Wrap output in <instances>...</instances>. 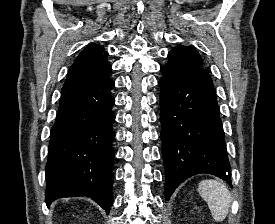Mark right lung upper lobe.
Instances as JSON below:
<instances>
[{"instance_id":"right-lung-upper-lobe-1","label":"right lung upper lobe","mask_w":275,"mask_h":224,"mask_svg":"<svg viewBox=\"0 0 275 224\" xmlns=\"http://www.w3.org/2000/svg\"><path fill=\"white\" fill-rule=\"evenodd\" d=\"M103 47L91 44L84 48L72 64L62 91L80 88L109 78L111 65Z\"/></svg>"}]
</instances>
